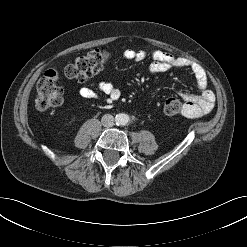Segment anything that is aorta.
Instances as JSON below:
<instances>
[{"instance_id": "obj_1", "label": "aorta", "mask_w": 247, "mask_h": 247, "mask_svg": "<svg viewBox=\"0 0 247 247\" xmlns=\"http://www.w3.org/2000/svg\"><path fill=\"white\" fill-rule=\"evenodd\" d=\"M130 118L129 115L125 114V113H120L118 115H116L115 121L116 124L118 125H126L129 122Z\"/></svg>"}]
</instances>
